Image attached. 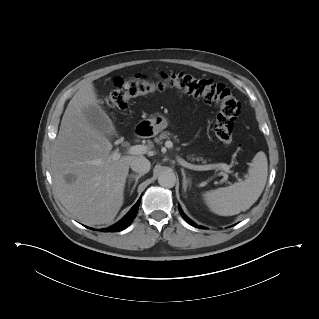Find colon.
Segmentation results:
<instances>
[{"mask_svg": "<svg viewBox=\"0 0 319 319\" xmlns=\"http://www.w3.org/2000/svg\"><path fill=\"white\" fill-rule=\"evenodd\" d=\"M167 88H176L217 106L219 113L214 122L215 135L223 143H232L233 123L241 105L227 86L209 79L181 72L162 73L156 77L137 74L130 79L119 78L114 81V89L107 97L106 104L113 110L126 111L131 99Z\"/></svg>", "mask_w": 319, "mask_h": 319, "instance_id": "obj_1", "label": "colon"}]
</instances>
